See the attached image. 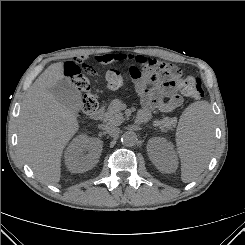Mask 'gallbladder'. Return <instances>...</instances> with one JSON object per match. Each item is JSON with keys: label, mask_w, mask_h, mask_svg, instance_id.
Masks as SVG:
<instances>
[{"label": "gallbladder", "mask_w": 245, "mask_h": 245, "mask_svg": "<svg viewBox=\"0 0 245 245\" xmlns=\"http://www.w3.org/2000/svg\"><path fill=\"white\" fill-rule=\"evenodd\" d=\"M55 99L68 107L73 112H77L82 107V95L69 79H62L51 88Z\"/></svg>", "instance_id": "bac80fb5"}]
</instances>
